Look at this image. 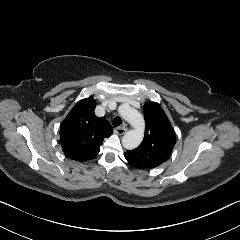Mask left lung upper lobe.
<instances>
[{"label":"left lung upper lobe","instance_id":"obj_1","mask_svg":"<svg viewBox=\"0 0 240 240\" xmlns=\"http://www.w3.org/2000/svg\"><path fill=\"white\" fill-rule=\"evenodd\" d=\"M143 110L146 122L144 139L136 149L124 153L129 164L137 169L161 165L172 152L176 142L172 125L158 103H147Z\"/></svg>","mask_w":240,"mask_h":240}]
</instances>
